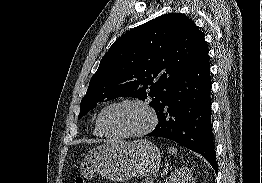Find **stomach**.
<instances>
[{
	"mask_svg": "<svg viewBox=\"0 0 262 183\" xmlns=\"http://www.w3.org/2000/svg\"><path fill=\"white\" fill-rule=\"evenodd\" d=\"M161 152L149 140L127 142L110 139L91 150L80 162L79 172L86 179L101 175L112 181L148 176L160 166Z\"/></svg>",
	"mask_w": 262,
	"mask_h": 183,
	"instance_id": "obj_1",
	"label": "stomach"
}]
</instances>
